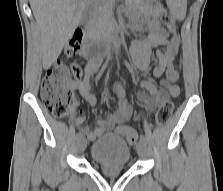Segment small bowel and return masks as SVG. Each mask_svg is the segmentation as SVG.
I'll list each match as a JSON object with an SVG mask.
<instances>
[{
    "label": "small bowel",
    "instance_id": "1",
    "mask_svg": "<svg viewBox=\"0 0 223 191\" xmlns=\"http://www.w3.org/2000/svg\"><path fill=\"white\" fill-rule=\"evenodd\" d=\"M161 13L162 10L159 7L150 9L149 17L144 22L149 29V34L146 38L134 42L131 46L133 64L138 72L148 69L152 51L157 49L158 63L153 68L152 75L156 78L165 77L163 81L164 88L162 89H158L150 80H143L141 82L142 88L150 94V97L140 96L143 110L134 117L135 120H141L167 97H178L180 94L179 87L175 84L179 77L178 72L175 67L174 70H167L168 63L175 61L179 41L176 37L168 35L162 28L159 20ZM101 63L102 58L90 60L85 66L83 78L72 83V88L77 90L90 106L96 104L95 95L92 93L90 87L91 79L97 73ZM113 89L117 97V111L109 114L106 118L99 119L97 127L94 130L83 126L86 122L84 117L74 119V124L91 141L111 131L115 125L125 123L133 117V108L125 98L121 84L115 83Z\"/></svg>",
    "mask_w": 223,
    "mask_h": 191
}]
</instances>
